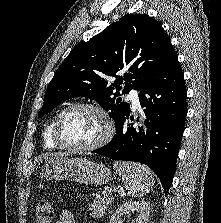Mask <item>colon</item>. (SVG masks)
I'll return each instance as SVG.
<instances>
[{"mask_svg":"<svg viewBox=\"0 0 221 223\" xmlns=\"http://www.w3.org/2000/svg\"><path fill=\"white\" fill-rule=\"evenodd\" d=\"M54 217V208L51 202L41 200L37 203L34 213V223H51Z\"/></svg>","mask_w":221,"mask_h":223,"instance_id":"5ec220e1","label":"colon"}]
</instances>
